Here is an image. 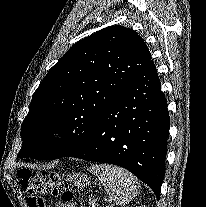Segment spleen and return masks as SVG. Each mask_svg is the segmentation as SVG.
Here are the masks:
<instances>
[{
	"label": "spleen",
	"mask_w": 206,
	"mask_h": 207,
	"mask_svg": "<svg viewBox=\"0 0 206 207\" xmlns=\"http://www.w3.org/2000/svg\"><path fill=\"white\" fill-rule=\"evenodd\" d=\"M88 171L101 181L108 194V200L115 205L128 204L138 193V180L123 168L108 164H96L90 166Z\"/></svg>",
	"instance_id": "obj_1"
}]
</instances>
